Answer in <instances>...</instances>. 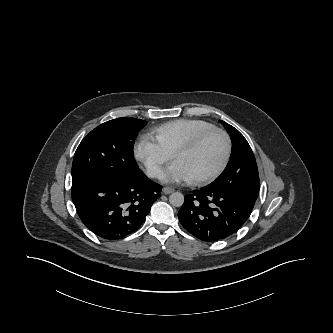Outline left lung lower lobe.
<instances>
[{
    "mask_svg": "<svg viewBox=\"0 0 333 333\" xmlns=\"http://www.w3.org/2000/svg\"><path fill=\"white\" fill-rule=\"evenodd\" d=\"M253 207L250 201L209 185L185 196L178 218L196 238L216 242L236 233L249 218Z\"/></svg>",
    "mask_w": 333,
    "mask_h": 333,
    "instance_id": "obj_1",
    "label": "left lung lower lobe"
}]
</instances>
